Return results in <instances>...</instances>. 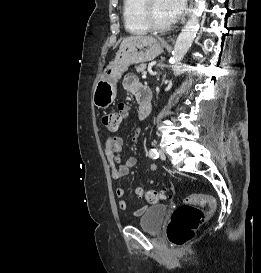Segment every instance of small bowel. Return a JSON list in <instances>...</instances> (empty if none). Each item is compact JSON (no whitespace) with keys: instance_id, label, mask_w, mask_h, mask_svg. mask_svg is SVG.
Instances as JSON below:
<instances>
[{"instance_id":"1","label":"small bowel","mask_w":261,"mask_h":273,"mask_svg":"<svg viewBox=\"0 0 261 273\" xmlns=\"http://www.w3.org/2000/svg\"><path fill=\"white\" fill-rule=\"evenodd\" d=\"M123 87L130 92L139 101V98L143 95V90L147 89L143 86L138 77L133 73H128L123 78ZM148 90V89H147ZM118 109L122 112V119H125L129 115L130 107L127 104L121 103L118 105ZM141 129L137 128L132 137V143L136 144L139 141ZM123 149V139L118 135L109 136L105 142V155L111 167V176L114 180L118 181L129 174V171L134 168L138 160L136 157H129L122 163L121 152ZM116 195L120 198L119 208L123 211L128 209V201L125 199V190L123 187L116 188ZM146 207L139 208L134 211V215L140 216L143 214Z\"/></svg>"}]
</instances>
